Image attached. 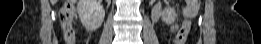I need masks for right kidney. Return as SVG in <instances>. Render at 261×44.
Segmentation results:
<instances>
[{
	"mask_svg": "<svg viewBox=\"0 0 261 44\" xmlns=\"http://www.w3.org/2000/svg\"><path fill=\"white\" fill-rule=\"evenodd\" d=\"M77 12L87 31L97 30L105 18V11L98 0H79Z\"/></svg>",
	"mask_w": 261,
	"mask_h": 44,
	"instance_id": "obj_1",
	"label": "right kidney"
}]
</instances>
